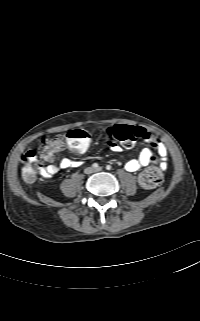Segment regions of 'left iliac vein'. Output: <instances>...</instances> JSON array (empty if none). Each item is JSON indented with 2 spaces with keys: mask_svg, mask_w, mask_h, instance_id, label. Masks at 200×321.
Listing matches in <instances>:
<instances>
[{
  "mask_svg": "<svg viewBox=\"0 0 200 321\" xmlns=\"http://www.w3.org/2000/svg\"><path fill=\"white\" fill-rule=\"evenodd\" d=\"M96 172L102 171V167H98L95 169Z\"/></svg>",
  "mask_w": 200,
  "mask_h": 321,
  "instance_id": "1",
  "label": "left iliac vein"
}]
</instances>
